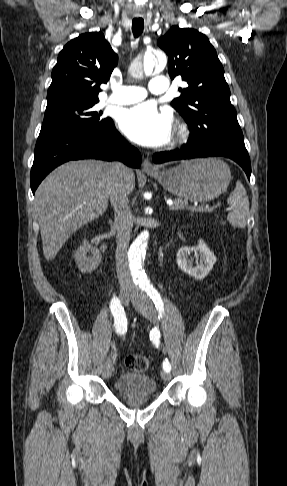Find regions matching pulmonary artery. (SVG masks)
<instances>
[{"label":"pulmonary artery","mask_w":287,"mask_h":486,"mask_svg":"<svg viewBox=\"0 0 287 486\" xmlns=\"http://www.w3.org/2000/svg\"><path fill=\"white\" fill-rule=\"evenodd\" d=\"M169 86L168 80L164 76L154 77L148 90L152 94H162L167 91ZM147 90L140 86H117L113 89L108 101L118 105H128L145 99Z\"/></svg>","instance_id":"e3ab8cb5"}]
</instances>
